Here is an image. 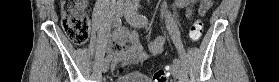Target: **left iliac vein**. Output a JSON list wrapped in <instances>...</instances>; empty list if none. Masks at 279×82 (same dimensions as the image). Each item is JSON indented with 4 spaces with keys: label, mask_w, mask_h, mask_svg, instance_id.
<instances>
[{
    "label": "left iliac vein",
    "mask_w": 279,
    "mask_h": 82,
    "mask_svg": "<svg viewBox=\"0 0 279 82\" xmlns=\"http://www.w3.org/2000/svg\"><path fill=\"white\" fill-rule=\"evenodd\" d=\"M124 16L127 22L133 27L141 28L144 25V22L139 19V16L135 10H126ZM170 72L174 78H181V71L177 64L171 65Z\"/></svg>",
    "instance_id": "obj_1"
}]
</instances>
